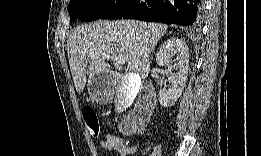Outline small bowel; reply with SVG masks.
Wrapping results in <instances>:
<instances>
[{
	"label": "small bowel",
	"instance_id": "obj_1",
	"mask_svg": "<svg viewBox=\"0 0 261 156\" xmlns=\"http://www.w3.org/2000/svg\"><path fill=\"white\" fill-rule=\"evenodd\" d=\"M100 147L109 153H116L120 156H132L136 153L135 145H127L121 138L113 134H107L105 139L100 141Z\"/></svg>",
	"mask_w": 261,
	"mask_h": 156
}]
</instances>
